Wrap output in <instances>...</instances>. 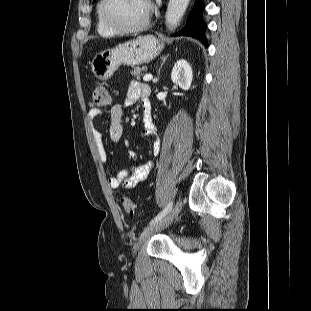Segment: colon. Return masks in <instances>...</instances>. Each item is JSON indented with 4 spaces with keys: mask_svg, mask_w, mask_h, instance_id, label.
I'll return each mask as SVG.
<instances>
[{
    "mask_svg": "<svg viewBox=\"0 0 311 311\" xmlns=\"http://www.w3.org/2000/svg\"><path fill=\"white\" fill-rule=\"evenodd\" d=\"M110 105V96L105 85L98 84L94 87L91 96V106L96 109H105ZM120 202L129 216L136 215V206L128 197H121Z\"/></svg>",
    "mask_w": 311,
    "mask_h": 311,
    "instance_id": "colon-1",
    "label": "colon"
}]
</instances>
